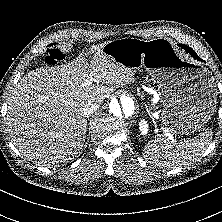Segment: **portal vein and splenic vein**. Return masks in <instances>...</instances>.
Segmentation results:
<instances>
[{
  "label": "portal vein and splenic vein",
  "mask_w": 222,
  "mask_h": 222,
  "mask_svg": "<svg viewBox=\"0 0 222 222\" xmlns=\"http://www.w3.org/2000/svg\"><path fill=\"white\" fill-rule=\"evenodd\" d=\"M90 81H92V78L90 79ZM90 81H87V84H90L91 83ZM146 91L150 92L149 90H146ZM163 134L169 141H171L174 144L176 143V138L170 131L163 129Z\"/></svg>",
  "instance_id": "obj_1"
}]
</instances>
